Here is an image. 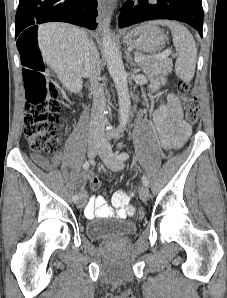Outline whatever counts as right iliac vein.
Returning a JSON list of instances; mask_svg holds the SVG:
<instances>
[{"instance_id":"63e3f726","label":"right iliac vein","mask_w":227,"mask_h":298,"mask_svg":"<svg viewBox=\"0 0 227 298\" xmlns=\"http://www.w3.org/2000/svg\"><path fill=\"white\" fill-rule=\"evenodd\" d=\"M100 149L101 146L98 142H90L88 144V156L90 158L95 157L96 154L100 151ZM75 203L78 208H82L85 205V199L80 197V199L77 200Z\"/></svg>"}]
</instances>
